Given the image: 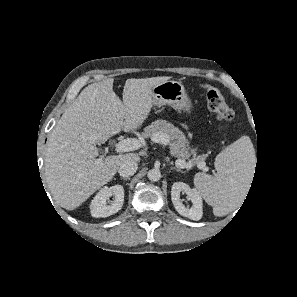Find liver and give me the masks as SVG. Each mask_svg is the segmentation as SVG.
I'll list each match as a JSON object with an SVG mask.
<instances>
[{"mask_svg":"<svg viewBox=\"0 0 297 297\" xmlns=\"http://www.w3.org/2000/svg\"><path fill=\"white\" fill-rule=\"evenodd\" d=\"M167 79H127L123 102L113 91V78L81 91L52 130L45 153L48 188L59 206L79 207L114 177L125 160H140L137 153H127L96 163V145L120 131L139 128L153 107L151 88Z\"/></svg>","mask_w":297,"mask_h":297,"instance_id":"obj_1","label":"liver"}]
</instances>
